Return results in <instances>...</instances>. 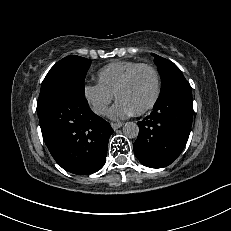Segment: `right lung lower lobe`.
Returning a JSON list of instances; mask_svg holds the SVG:
<instances>
[{
	"mask_svg": "<svg viewBox=\"0 0 231 231\" xmlns=\"http://www.w3.org/2000/svg\"><path fill=\"white\" fill-rule=\"evenodd\" d=\"M37 113L45 143L62 168L86 175L103 167L113 129L83 95L57 92L37 104Z\"/></svg>",
	"mask_w": 231,
	"mask_h": 231,
	"instance_id": "right-lung-lower-lobe-1",
	"label": "right lung lower lobe"
}]
</instances>
